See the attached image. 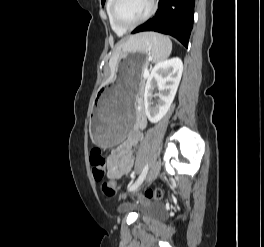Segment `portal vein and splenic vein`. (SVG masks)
<instances>
[{
  "label": "portal vein and splenic vein",
  "mask_w": 264,
  "mask_h": 247,
  "mask_svg": "<svg viewBox=\"0 0 264 247\" xmlns=\"http://www.w3.org/2000/svg\"><path fill=\"white\" fill-rule=\"evenodd\" d=\"M149 74V71H148V66H146L143 70V77L146 78Z\"/></svg>",
  "instance_id": "18ae733b"
}]
</instances>
